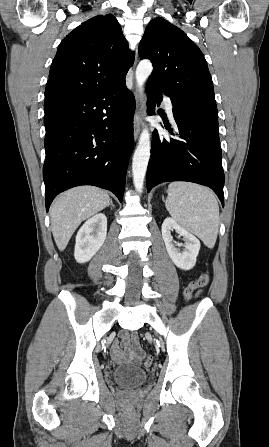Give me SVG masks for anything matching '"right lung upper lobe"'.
<instances>
[{"mask_svg": "<svg viewBox=\"0 0 269 447\" xmlns=\"http://www.w3.org/2000/svg\"><path fill=\"white\" fill-rule=\"evenodd\" d=\"M134 56L112 14L93 17L60 43L50 68L45 98L110 86L125 78Z\"/></svg>", "mask_w": 269, "mask_h": 447, "instance_id": "1", "label": "right lung upper lobe"}]
</instances>
